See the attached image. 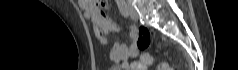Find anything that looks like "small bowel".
<instances>
[{
  "label": "small bowel",
  "instance_id": "obj_1",
  "mask_svg": "<svg viewBox=\"0 0 238 70\" xmlns=\"http://www.w3.org/2000/svg\"><path fill=\"white\" fill-rule=\"evenodd\" d=\"M79 7L83 10L84 17L90 19L93 23L94 30L99 42L103 45H108V35L110 33H120L122 29L102 10V3H94L87 0H78ZM128 36L131 40L130 44H125L122 41H117L113 44L109 51L110 59L116 64V67H122L129 70L130 65L127 60L139 54L140 49L137 46V30L135 27H130ZM147 56L143 55L142 59Z\"/></svg>",
  "mask_w": 238,
  "mask_h": 70
}]
</instances>
